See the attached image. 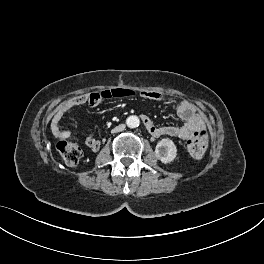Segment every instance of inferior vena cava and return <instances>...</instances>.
<instances>
[{
	"label": "inferior vena cava",
	"instance_id": "obj_1",
	"mask_svg": "<svg viewBox=\"0 0 264 264\" xmlns=\"http://www.w3.org/2000/svg\"><path fill=\"white\" fill-rule=\"evenodd\" d=\"M124 129V125H120V126H118V127H115L112 131L114 132V133H116V132H118V131H122Z\"/></svg>",
	"mask_w": 264,
	"mask_h": 264
}]
</instances>
